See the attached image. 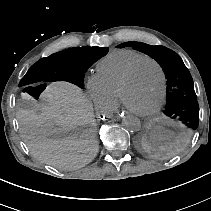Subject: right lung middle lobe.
Segmentation results:
<instances>
[{
	"instance_id": "1",
	"label": "right lung middle lobe",
	"mask_w": 211,
	"mask_h": 211,
	"mask_svg": "<svg viewBox=\"0 0 211 211\" xmlns=\"http://www.w3.org/2000/svg\"><path fill=\"white\" fill-rule=\"evenodd\" d=\"M107 53V47H76L52 54L34 65L36 81L64 80L84 88L85 72Z\"/></svg>"
}]
</instances>
